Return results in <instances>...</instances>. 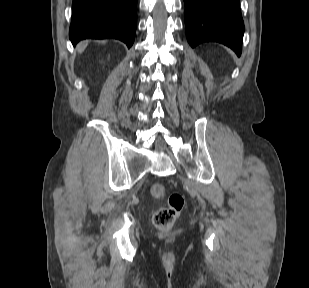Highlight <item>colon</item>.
<instances>
[{"mask_svg":"<svg viewBox=\"0 0 309 288\" xmlns=\"http://www.w3.org/2000/svg\"><path fill=\"white\" fill-rule=\"evenodd\" d=\"M150 194L156 200H162L167 197V205L159 208L154 213L153 223L158 229L165 230L171 228L183 209V196L180 193H172L167 196L166 187L161 183L153 184Z\"/></svg>","mask_w":309,"mask_h":288,"instance_id":"5ec220e1","label":"colon"}]
</instances>
